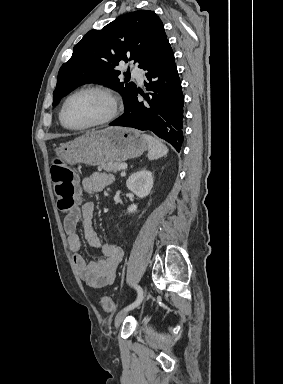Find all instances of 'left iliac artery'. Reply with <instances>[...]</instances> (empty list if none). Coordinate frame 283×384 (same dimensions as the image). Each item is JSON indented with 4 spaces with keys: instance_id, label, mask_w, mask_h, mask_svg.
Segmentation results:
<instances>
[{
    "instance_id": "1",
    "label": "left iliac artery",
    "mask_w": 283,
    "mask_h": 384,
    "mask_svg": "<svg viewBox=\"0 0 283 384\" xmlns=\"http://www.w3.org/2000/svg\"><path fill=\"white\" fill-rule=\"evenodd\" d=\"M135 289L137 291L136 300L133 303H131L130 305H128L127 307H125L124 310H132V309L136 308L138 305H140V303L142 302V300L144 298L143 289L138 285H135Z\"/></svg>"
}]
</instances>
